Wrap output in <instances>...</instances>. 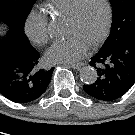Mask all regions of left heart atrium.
<instances>
[{
	"mask_svg": "<svg viewBox=\"0 0 135 135\" xmlns=\"http://www.w3.org/2000/svg\"><path fill=\"white\" fill-rule=\"evenodd\" d=\"M89 44L78 35H71L68 39L54 42L45 52L48 63H75L88 52Z\"/></svg>",
	"mask_w": 135,
	"mask_h": 135,
	"instance_id": "obj_1",
	"label": "left heart atrium"
}]
</instances>
